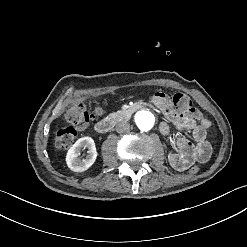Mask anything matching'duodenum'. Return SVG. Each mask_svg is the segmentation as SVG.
Masks as SVG:
<instances>
[{"instance_id": "obj_1", "label": "duodenum", "mask_w": 247, "mask_h": 247, "mask_svg": "<svg viewBox=\"0 0 247 247\" xmlns=\"http://www.w3.org/2000/svg\"><path fill=\"white\" fill-rule=\"evenodd\" d=\"M143 108L144 106L142 104H136L134 106H131L125 110L120 111L117 115L113 117L98 121L95 125V129L98 133H107L113 128V126L119 118H129L133 112Z\"/></svg>"}]
</instances>
